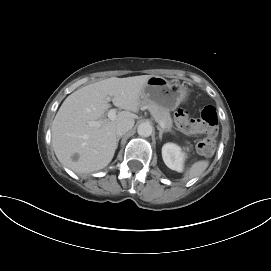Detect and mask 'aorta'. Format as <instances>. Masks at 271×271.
Wrapping results in <instances>:
<instances>
[{
  "instance_id": "1",
  "label": "aorta",
  "mask_w": 271,
  "mask_h": 271,
  "mask_svg": "<svg viewBox=\"0 0 271 271\" xmlns=\"http://www.w3.org/2000/svg\"><path fill=\"white\" fill-rule=\"evenodd\" d=\"M152 131H153V127L148 122L141 123L137 128V133L141 137H149L152 134Z\"/></svg>"
}]
</instances>
